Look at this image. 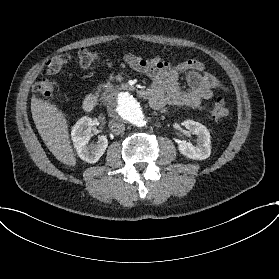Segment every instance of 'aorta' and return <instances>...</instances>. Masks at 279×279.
<instances>
[{
	"label": "aorta",
	"instance_id": "aorta-1",
	"mask_svg": "<svg viewBox=\"0 0 279 279\" xmlns=\"http://www.w3.org/2000/svg\"><path fill=\"white\" fill-rule=\"evenodd\" d=\"M110 114L121 121L136 126L145 125L140 103L128 92H119L109 102Z\"/></svg>",
	"mask_w": 279,
	"mask_h": 279
}]
</instances>
